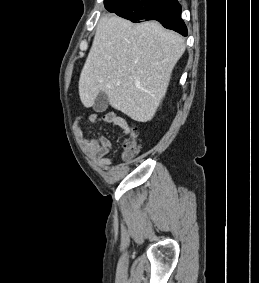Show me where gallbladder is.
<instances>
[{"label": "gallbladder", "instance_id": "bac80fb5", "mask_svg": "<svg viewBox=\"0 0 259 283\" xmlns=\"http://www.w3.org/2000/svg\"><path fill=\"white\" fill-rule=\"evenodd\" d=\"M109 105V99L106 93L100 92L95 99L93 109L96 112H104Z\"/></svg>", "mask_w": 259, "mask_h": 283}]
</instances>
